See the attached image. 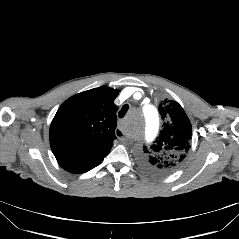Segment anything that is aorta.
Returning <instances> with one entry per match:
<instances>
[{"label":"aorta","instance_id":"aorta-1","mask_svg":"<svg viewBox=\"0 0 239 239\" xmlns=\"http://www.w3.org/2000/svg\"><path fill=\"white\" fill-rule=\"evenodd\" d=\"M140 111L143 114V123L145 125V134L143 136V148L151 149L155 145V140L157 139V128L158 122V112L156 108L152 105H144L141 107Z\"/></svg>","mask_w":239,"mask_h":239}]
</instances>
